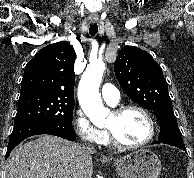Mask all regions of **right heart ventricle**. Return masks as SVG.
I'll return each instance as SVG.
<instances>
[{
	"mask_svg": "<svg viewBox=\"0 0 194 178\" xmlns=\"http://www.w3.org/2000/svg\"><path fill=\"white\" fill-rule=\"evenodd\" d=\"M101 143H103V144H105V145L110 144V140H109V138H108V135H107V134H105V137H104V139H103V141H102Z\"/></svg>",
	"mask_w": 194,
	"mask_h": 178,
	"instance_id": "obj_1",
	"label": "right heart ventricle"
}]
</instances>
